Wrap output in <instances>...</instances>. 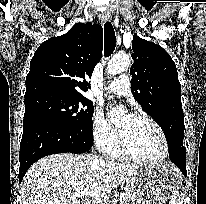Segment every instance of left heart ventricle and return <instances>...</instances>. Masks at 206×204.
<instances>
[{"label": "left heart ventricle", "mask_w": 206, "mask_h": 204, "mask_svg": "<svg viewBox=\"0 0 206 204\" xmlns=\"http://www.w3.org/2000/svg\"><path fill=\"white\" fill-rule=\"evenodd\" d=\"M117 126L129 147L138 155L157 158L163 154L162 138L149 122L126 115Z\"/></svg>", "instance_id": "b2bd125f"}]
</instances>
